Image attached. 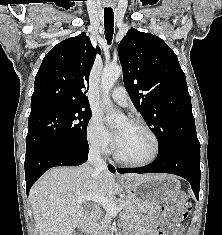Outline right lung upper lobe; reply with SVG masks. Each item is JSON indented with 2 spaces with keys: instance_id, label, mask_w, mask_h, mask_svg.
<instances>
[{
  "instance_id": "1",
  "label": "right lung upper lobe",
  "mask_w": 222,
  "mask_h": 235,
  "mask_svg": "<svg viewBox=\"0 0 222 235\" xmlns=\"http://www.w3.org/2000/svg\"><path fill=\"white\" fill-rule=\"evenodd\" d=\"M96 53L86 33L68 38L44 57L35 77L31 98V113L35 114L56 105H75L89 108L85 88Z\"/></svg>"
}]
</instances>
